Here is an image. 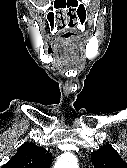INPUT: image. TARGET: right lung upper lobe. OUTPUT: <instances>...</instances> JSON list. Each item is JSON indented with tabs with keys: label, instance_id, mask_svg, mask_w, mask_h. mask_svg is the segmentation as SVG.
Returning a JSON list of instances; mask_svg holds the SVG:
<instances>
[{
	"label": "right lung upper lobe",
	"instance_id": "obj_1",
	"mask_svg": "<svg viewBox=\"0 0 127 168\" xmlns=\"http://www.w3.org/2000/svg\"><path fill=\"white\" fill-rule=\"evenodd\" d=\"M52 156L43 147L24 143L2 168H49Z\"/></svg>",
	"mask_w": 127,
	"mask_h": 168
}]
</instances>
